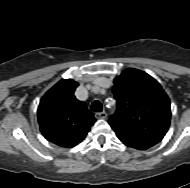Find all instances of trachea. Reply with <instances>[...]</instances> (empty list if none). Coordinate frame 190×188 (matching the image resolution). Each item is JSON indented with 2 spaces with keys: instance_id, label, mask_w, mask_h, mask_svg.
I'll return each instance as SVG.
<instances>
[{
  "instance_id": "obj_1",
  "label": "trachea",
  "mask_w": 190,
  "mask_h": 188,
  "mask_svg": "<svg viewBox=\"0 0 190 188\" xmlns=\"http://www.w3.org/2000/svg\"><path fill=\"white\" fill-rule=\"evenodd\" d=\"M90 109L94 112H101L102 111V104L99 101L92 102Z\"/></svg>"
}]
</instances>
